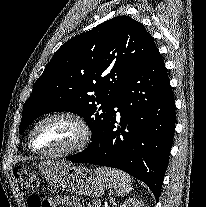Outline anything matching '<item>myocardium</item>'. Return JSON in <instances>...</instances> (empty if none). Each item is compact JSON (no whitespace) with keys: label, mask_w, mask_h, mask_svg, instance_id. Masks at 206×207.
I'll return each instance as SVG.
<instances>
[{"label":"myocardium","mask_w":206,"mask_h":207,"mask_svg":"<svg viewBox=\"0 0 206 207\" xmlns=\"http://www.w3.org/2000/svg\"><path fill=\"white\" fill-rule=\"evenodd\" d=\"M55 118H66V119L72 120L80 129L81 135H80L79 140L75 142L73 145L62 148V149L42 150V149L36 148L33 143V136H34L36 129L45 121H48L50 119H55ZM92 136H93L92 128L82 116L76 113H73V112H69V111H59V112L48 114L35 123V125L30 130L29 137H28V144L30 148L32 149V151L38 154L54 155V156L70 155V154H76L86 149L92 140Z\"/></svg>","instance_id":"f54148a6"}]
</instances>
